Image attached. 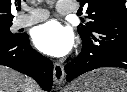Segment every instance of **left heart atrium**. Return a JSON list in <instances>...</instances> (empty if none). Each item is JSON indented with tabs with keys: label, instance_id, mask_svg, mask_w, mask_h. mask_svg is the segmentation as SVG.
I'll list each match as a JSON object with an SVG mask.
<instances>
[{
	"label": "left heart atrium",
	"instance_id": "39dd6f15",
	"mask_svg": "<svg viewBox=\"0 0 127 92\" xmlns=\"http://www.w3.org/2000/svg\"><path fill=\"white\" fill-rule=\"evenodd\" d=\"M32 38L38 50L55 57L66 55L73 46L71 30L55 20L37 26Z\"/></svg>",
	"mask_w": 127,
	"mask_h": 92
}]
</instances>
